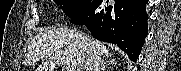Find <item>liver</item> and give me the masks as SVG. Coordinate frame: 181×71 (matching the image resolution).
I'll return each instance as SVG.
<instances>
[{
  "label": "liver",
  "mask_w": 181,
  "mask_h": 71,
  "mask_svg": "<svg viewBox=\"0 0 181 71\" xmlns=\"http://www.w3.org/2000/svg\"><path fill=\"white\" fill-rule=\"evenodd\" d=\"M89 49L99 57H109V49L97 40L84 36L77 30L57 28L41 32L31 41L26 66L38 61L42 64L35 71H54L55 66L63 65L74 71H86Z\"/></svg>",
  "instance_id": "liver-1"
}]
</instances>
